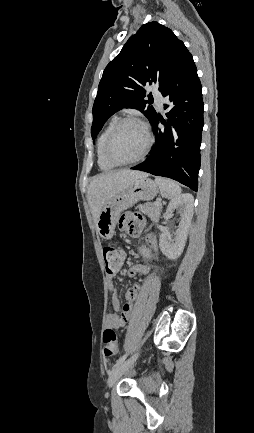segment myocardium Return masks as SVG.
Listing matches in <instances>:
<instances>
[{
  "label": "myocardium",
  "mask_w": 254,
  "mask_h": 433,
  "mask_svg": "<svg viewBox=\"0 0 254 433\" xmlns=\"http://www.w3.org/2000/svg\"><path fill=\"white\" fill-rule=\"evenodd\" d=\"M130 123L137 124L143 129V131L146 135L147 142H146V145H145L143 151L136 158H134L132 160H128V161H118L111 156L110 145H111L112 140H113L114 136L116 135V133L124 125L130 124ZM152 145H153V136H152L151 132L149 131L147 125L143 121H141L138 118H134V117L123 118V119L119 120V122L113 127V129L108 134V136L105 140V143H104V147H103V156L113 166H127V165L138 163L141 160H143L147 156V154L149 153Z\"/></svg>",
  "instance_id": "1"
}]
</instances>
